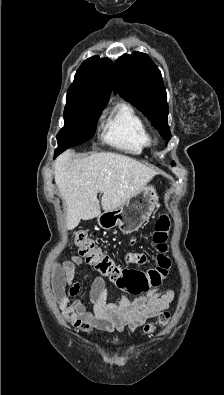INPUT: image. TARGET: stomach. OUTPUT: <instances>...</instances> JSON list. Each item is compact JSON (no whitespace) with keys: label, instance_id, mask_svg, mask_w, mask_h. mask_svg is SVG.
<instances>
[{"label":"stomach","instance_id":"obj_1","mask_svg":"<svg viewBox=\"0 0 224 395\" xmlns=\"http://www.w3.org/2000/svg\"><path fill=\"white\" fill-rule=\"evenodd\" d=\"M158 199L155 186L146 184L121 206L100 213L97 217L98 225L106 230L118 227L123 233L133 232L149 220Z\"/></svg>","mask_w":224,"mask_h":395}]
</instances>
